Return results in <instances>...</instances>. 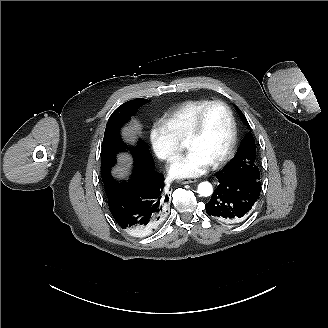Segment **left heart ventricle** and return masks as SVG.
<instances>
[{
  "label": "left heart ventricle",
  "mask_w": 328,
  "mask_h": 328,
  "mask_svg": "<svg viewBox=\"0 0 328 328\" xmlns=\"http://www.w3.org/2000/svg\"><path fill=\"white\" fill-rule=\"evenodd\" d=\"M231 137L232 124L229 114L225 108L218 106L208 112L200 133L184 146L199 151L213 163L225 153Z\"/></svg>",
  "instance_id": "1"
}]
</instances>
